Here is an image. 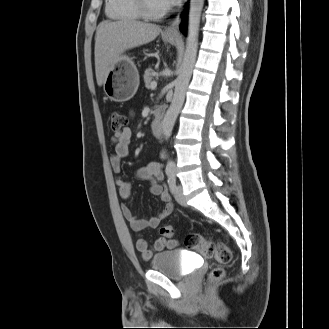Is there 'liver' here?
<instances>
[{
    "label": "liver",
    "instance_id": "obj_1",
    "mask_svg": "<svg viewBox=\"0 0 329 329\" xmlns=\"http://www.w3.org/2000/svg\"><path fill=\"white\" fill-rule=\"evenodd\" d=\"M160 32L161 27L158 25L134 20L100 23L94 52L98 86L104 84L109 70L124 51L153 41Z\"/></svg>",
    "mask_w": 329,
    "mask_h": 329
}]
</instances>
